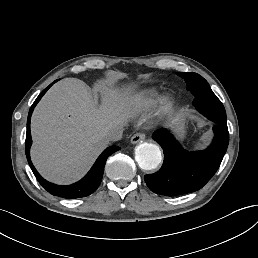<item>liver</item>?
I'll return each instance as SVG.
<instances>
[{"label":"liver","instance_id":"obj_1","mask_svg":"<svg viewBox=\"0 0 258 258\" xmlns=\"http://www.w3.org/2000/svg\"><path fill=\"white\" fill-rule=\"evenodd\" d=\"M101 105L82 80L67 78L55 84L38 103L31 118V159L38 172L56 184H71L89 170L108 146L110 129L126 125L147 101L140 94L100 85ZM184 116L166 123L176 131Z\"/></svg>","mask_w":258,"mask_h":258}]
</instances>
